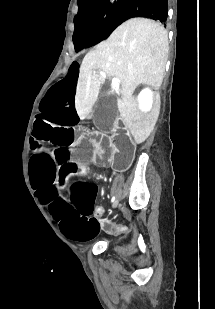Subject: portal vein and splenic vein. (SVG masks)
Returning a JSON list of instances; mask_svg holds the SVG:
<instances>
[{
    "label": "portal vein and splenic vein",
    "mask_w": 215,
    "mask_h": 309,
    "mask_svg": "<svg viewBox=\"0 0 215 309\" xmlns=\"http://www.w3.org/2000/svg\"><path fill=\"white\" fill-rule=\"evenodd\" d=\"M100 74L101 76H105V72H101V70H100ZM120 82L121 80H119V78H112L111 84L112 86H119Z\"/></svg>",
    "instance_id": "obj_1"
}]
</instances>
